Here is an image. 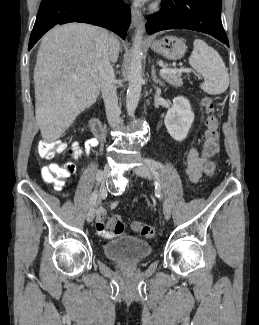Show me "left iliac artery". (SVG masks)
Masks as SVG:
<instances>
[{"instance_id":"44dca946","label":"left iliac artery","mask_w":259,"mask_h":325,"mask_svg":"<svg viewBox=\"0 0 259 325\" xmlns=\"http://www.w3.org/2000/svg\"><path fill=\"white\" fill-rule=\"evenodd\" d=\"M145 160H151L152 164L156 165V168H161L162 170H165V167L160 162H157V161H155L153 159H150V158H146Z\"/></svg>"}]
</instances>
